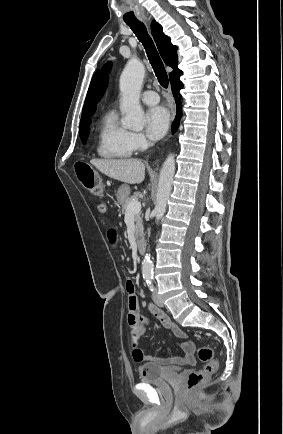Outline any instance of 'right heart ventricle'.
Segmentation results:
<instances>
[{"instance_id":"1","label":"right heart ventricle","mask_w":283,"mask_h":434,"mask_svg":"<svg viewBox=\"0 0 283 434\" xmlns=\"http://www.w3.org/2000/svg\"><path fill=\"white\" fill-rule=\"evenodd\" d=\"M130 143V131L118 121L115 111H109L103 117L97 143V153L103 158H128L133 153Z\"/></svg>"}]
</instances>
